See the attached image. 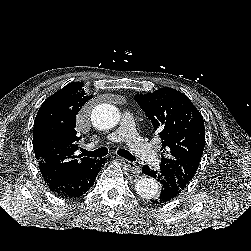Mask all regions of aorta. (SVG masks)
I'll return each mask as SVG.
<instances>
[{"label":"aorta","instance_id":"aorta-1","mask_svg":"<svg viewBox=\"0 0 251 251\" xmlns=\"http://www.w3.org/2000/svg\"><path fill=\"white\" fill-rule=\"evenodd\" d=\"M121 119L120 111L110 104L97 105L91 114L92 124L100 130L114 128ZM135 191L141 198L152 199L160 192L158 181L152 177H141L135 183Z\"/></svg>","mask_w":251,"mask_h":251}]
</instances>
